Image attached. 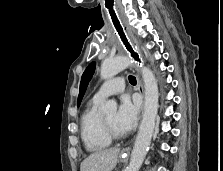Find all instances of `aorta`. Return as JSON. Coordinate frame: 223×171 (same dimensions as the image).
Listing matches in <instances>:
<instances>
[{"label":"aorta","mask_w":223,"mask_h":171,"mask_svg":"<svg viewBox=\"0 0 223 171\" xmlns=\"http://www.w3.org/2000/svg\"><path fill=\"white\" fill-rule=\"evenodd\" d=\"M132 64L133 61L128 57L105 59L101 65L100 76L102 79L112 78ZM141 71L145 90L144 111L127 171H139L142 166L151 143L159 106L158 85L153 72L147 67H142ZM102 110L105 113L115 112L117 103L108 100L103 105Z\"/></svg>","instance_id":"1"}]
</instances>
